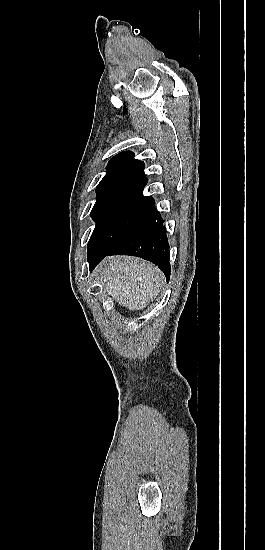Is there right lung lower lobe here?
I'll use <instances>...</instances> for the list:
<instances>
[{"instance_id": "1", "label": "right lung lower lobe", "mask_w": 265, "mask_h": 550, "mask_svg": "<svg viewBox=\"0 0 265 550\" xmlns=\"http://www.w3.org/2000/svg\"><path fill=\"white\" fill-rule=\"evenodd\" d=\"M154 205L155 203L135 226L108 251L88 254L90 271L107 255H132L157 265L169 280V244L163 219L154 209Z\"/></svg>"}]
</instances>
